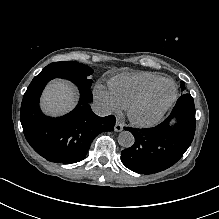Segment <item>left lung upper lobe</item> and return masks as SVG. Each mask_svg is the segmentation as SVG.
<instances>
[{
  "mask_svg": "<svg viewBox=\"0 0 219 219\" xmlns=\"http://www.w3.org/2000/svg\"><path fill=\"white\" fill-rule=\"evenodd\" d=\"M181 87H182V92L184 93V90H185V85L183 82H181Z\"/></svg>",
  "mask_w": 219,
  "mask_h": 219,
  "instance_id": "obj_1",
  "label": "left lung upper lobe"
}]
</instances>
